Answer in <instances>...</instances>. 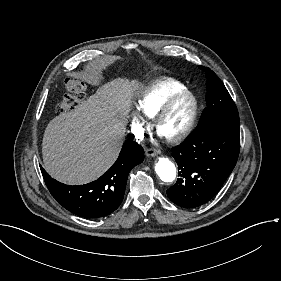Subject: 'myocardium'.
<instances>
[{"instance_id":"1","label":"myocardium","mask_w":281,"mask_h":281,"mask_svg":"<svg viewBox=\"0 0 281 281\" xmlns=\"http://www.w3.org/2000/svg\"><path fill=\"white\" fill-rule=\"evenodd\" d=\"M183 97H189L192 100V107L188 118L185 123L173 134L168 136H163L160 132V127L163 119L165 118L168 111L172 108V106ZM198 115V101L195 95L188 91L184 90L182 92L177 93L176 95L170 97L165 103L161 105V107L152 115L151 117V127L155 131L156 135L167 143L176 144L181 142L192 130Z\"/></svg>"}]
</instances>
